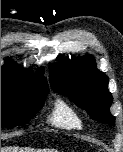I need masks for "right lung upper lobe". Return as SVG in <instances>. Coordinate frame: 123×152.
Masks as SVG:
<instances>
[{
  "label": "right lung upper lobe",
  "mask_w": 123,
  "mask_h": 152,
  "mask_svg": "<svg viewBox=\"0 0 123 152\" xmlns=\"http://www.w3.org/2000/svg\"><path fill=\"white\" fill-rule=\"evenodd\" d=\"M1 84H9L16 87L20 92L47 93L49 87L46 79L43 77V69L34 74L31 70H25L14 63L12 60H6L1 67Z\"/></svg>",
  "instance_id": "obj_1"
}]
</instances>
